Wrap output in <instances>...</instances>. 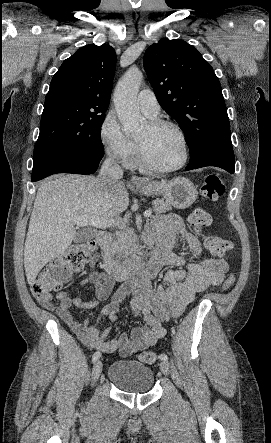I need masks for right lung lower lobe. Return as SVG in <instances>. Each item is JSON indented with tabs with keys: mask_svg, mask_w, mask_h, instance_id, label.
Returning a JSON list of instances; mask_svg holds the SVG:
<instances>
[{
	"mask_svg": "<svg viewBox=\"0 0 271 443\" xmlns=\"http://www.w3.org/2000/svg\"><path fill=\"white\" fill-rule=\"evenodd\" d=\"M102 157L97 150L81 151L61 148L47 150L34 159L32 182L56 173H94Z\"/></svg>",
	"mask_w": 271,
	"mask_h": 443,
	"instance_id": "98d812e1",
	"label": "right lung lower lobe"
}]
</instances>
